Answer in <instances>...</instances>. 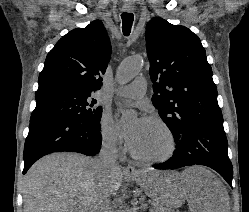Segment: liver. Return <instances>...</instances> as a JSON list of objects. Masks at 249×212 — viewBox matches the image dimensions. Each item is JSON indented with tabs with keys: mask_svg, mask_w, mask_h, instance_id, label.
<instances>
[{
	"mask_svg": "<svg viewBox=\"0 0 249 212\" xmlns=\"http://www.w3.org/2000/svg\"><path fill=\"white\" fill-rule=\"evenodd\" d=\"M108 176L101 188V170L92 158L73 152L44 156L24 176V212H102L103 200L120 190L124 174L119 166ZM131 178L159 206L180 208L187 202L190 212H230L225 186L205 166H191L182 174L149 168Z\"/></svg>",
	"mask_w": 249,
	"mask_h": 212,
	"instance_id": "liver-1",
	"label": "liver"
}]
</instances>
